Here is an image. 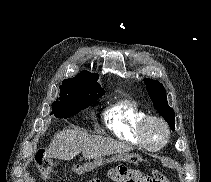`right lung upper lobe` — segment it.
I'll return each mask as SVG.
<instances>
[{
  "label": "right lung upper lobe",
  "mask_w": 211,
  "mask_h": 182,
  "mask_svg": "<svg viewBox=\"0 0 211 182\" xmlns=\"http://www.w3.org/2000/svg\"><path fill=\"white\" fill-rule=\"evenodd\" d=\"M97 80H98L97 74H92L88 71H82L79 74H77L74 78H69L66 81H70L76 85L88 87L94 89L95 91L105 93L104 89L101 88Z\"/></svg>",
  "instance_id": "1"
}]
</instances>
